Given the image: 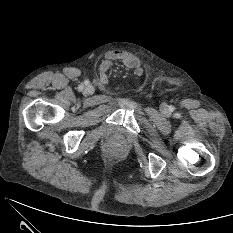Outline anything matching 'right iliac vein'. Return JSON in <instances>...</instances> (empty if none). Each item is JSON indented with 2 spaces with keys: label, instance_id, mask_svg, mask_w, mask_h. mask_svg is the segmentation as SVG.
I'll list each match as a JSON object with an SVG mask.
<instances>
[{
  "label": "right iliac vein",
  "instance_id": "63e3f726",
  "mask_svg": "<svg viewBox=\"0 0 233 233\" xmlns=\"http://www.w3.org/2000/svg\"><path fill=\"white\" fill-rule=\"evenodd\" d=\"M85 91L87 94H93L95 89L92 85H88L86 88H85Z\"/></svg>",
  "mask_w": 233,
  "mask_h": 233
}]
</instances>
